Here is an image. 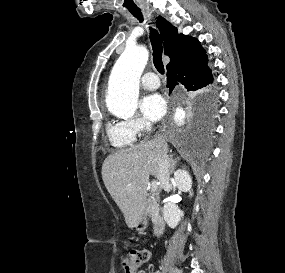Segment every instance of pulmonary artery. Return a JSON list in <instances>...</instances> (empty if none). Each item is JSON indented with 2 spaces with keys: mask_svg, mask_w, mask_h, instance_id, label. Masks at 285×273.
<instances>
[{
  "mask_svg": "<svg viewBox=\"0 0 285 273\" xmlns=\"http://www.w3.org/2000/svg\"><path fill=\"white\" fill-rule=\"evenodd\" d=\"M141 83L148 90H154L160 86V80L154 72H146L142 76Z\"/></svg>",
  "mask_w": 285,
  "mask_h": 273,
  "instance_id": "pulmonary-artery-1",
  "label": "pulmonary artery"
}]
</instances>
